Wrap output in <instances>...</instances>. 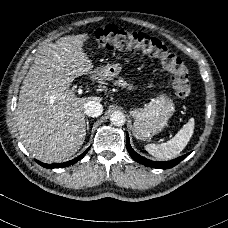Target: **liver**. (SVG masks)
I'll list each match as a JSON object with an SVG mask.
<instances>
[{"instance_id": "obj_1", "label": "liver", "mask_w": 228, "mask_h": 228, "mask_svg": "<svg viewBox=\"0 0 228 228\" xmlns=\"http://www.w3.org/2000/svg\"><path fill=\"white\" fill-rule=\"evenodd\" d=\"M87 34L61 37L45 45L23 80L17 104V127L25 148L37 159L61 162L73 156L86 135L84 104L97 97H77L69 89L93 65L83 51Z\"/></svg>"}]
</instances>
